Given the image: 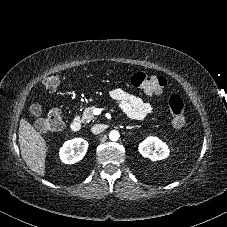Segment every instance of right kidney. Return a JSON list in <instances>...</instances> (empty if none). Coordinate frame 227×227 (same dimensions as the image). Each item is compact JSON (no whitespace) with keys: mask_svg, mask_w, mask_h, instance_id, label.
<instances>
[{"mask_svg":"<svg viewBox=\"0 0 227 227\" xmlns=\"http://www.w3.org/2000/svg\"><path fill=\"white\" fill-rule=\"evenodd\" d=\"M88 142L82 138L68 140L60 148L59 156L63 163L74 164L80 161L86 154Z\"/></svg>","mask_w":227,"mask_h":227,"instance_id":"right-kidney-1","label":"right kidney"}]
</instances>
